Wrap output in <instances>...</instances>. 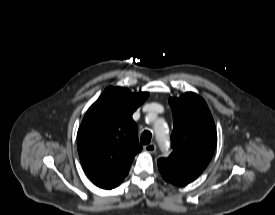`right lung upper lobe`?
Wrapping results in <instances>:
<instances>
[{
    "mask_svg": "<svg viewBox=\"0 0 275 215\" xmlns=\"http://www.w3.org/2000/svg\"><path fill=\"white\" fill-rule=\"evenodd\" d=\"M148 95L110 86L85 114L77 147L83 169L96 186L112 189L127 176L142 149L132 114Z\"/></svg>",
    "mask_w": 275,
    "mask_h": 215,
    "instance_id": "1",
    "label": "right lung upper lobe"
}]
</instances>
